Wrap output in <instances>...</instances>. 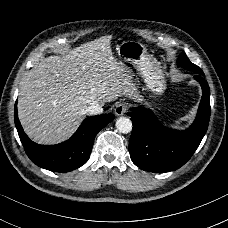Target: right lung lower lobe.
Masks as SVG:
<instances>
[{
    "label": "right lung lower lobe",
    "instance_id": "98d812e1",
    "mask_svg": "<svg viewBox=\"0 0 228 228\" xmlns=\"http://www.w3.org/2000/svg\"><path fill=\"white\" fill-rule=\"evenodd\" d=\"M16 105L17 103L14 109L15 125L26 154L39 167L54 172H69L84 165L89 159L95 136L115 118L113 114L86 118L69 140L45 146L32 142L24 133Z\"/></svg>",
    "mask_w": 228,
    "mask_h": 228
}]
</instances>
